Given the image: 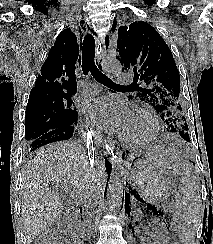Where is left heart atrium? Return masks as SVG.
<instances>
[{"instance_id":"obj_1","label":"left heart atrium","mask_w":213,"mask_h":244,"mask_svg":"<svg viewBox=\"0 0 213 244\" xmlns=\"http://www.w3.org/2000/svg\"><path fill=\"white\" fill-rule=\"evenodd\" d=\"M85 113L96 128H112L120 133L124 132L133 117L132 111L124 102L111 96L88 100Z\"/></svg>"}]
</instances>
